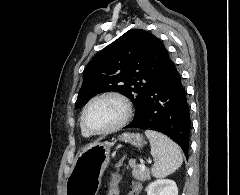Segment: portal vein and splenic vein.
<instances>
[{"label":"portal vein and splenic vein","mask_w":240,"mask_h":195,"mask_svg":"<svg viewBox=\"0 0 240 195\" xmlns=\"http://www.w3.org/2000/svg\"><path fill=\"white\" fill-rule=\"evenodd\" d=\"M140 161H141V163H140V165H139V169H142V171H144V169H145V163H144L143 159H140ZM149 163H151V161H149Z\"/></svg>","instance_id":"obj_1"}]
</instances>
